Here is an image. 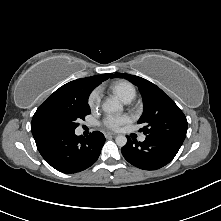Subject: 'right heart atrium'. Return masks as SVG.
Returning <instances> with one entry per match:
<instances>
[{"label": "right heart atrium", "instance_id": "1", "mask_svg": "<svg viewBox=\"0 0 221 221\" xmlns=\"http://www.w3.org/2000/svg\"><path fill=\"white\" fill-rule=\"evenodd\" d=\"M101 92L98 88L94 89L88 96V105L90 108H95L100 104Z\"/></svg>", "mask_w": 221, "mask_h": 221}]
</instances>
